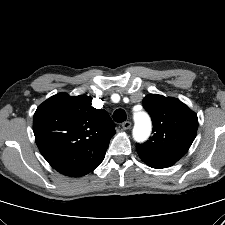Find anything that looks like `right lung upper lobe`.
<instances>
[{
    "instance_id": "obj_1",
    "label": "right lung upper lobe",
    "mask_w": 225,
    "mask_h": 225,
    "mask_svg": "<svg viewBox=\"0 0 225 225\" xmlns=\"http://www.w3.org/2000/svg\"><path fill=\"white\" fill-rule=\"evenodd\" d=\"M92 97L58 93L36 110L33 131L37 146L58 172L81 177L104 159L115 124L103 109L91 106Z\"/></svg>"
}]
</instances>
